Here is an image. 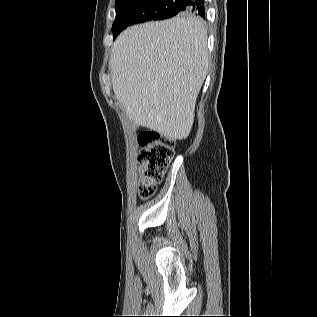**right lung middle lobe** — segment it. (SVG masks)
<instances>
[{"label": "right lung middle lobe", "mask_w": 317, "mask_h": 317, "mask_svg": "<svg viewBox=\"0 0 317 317\" xmlns=\"http://www.w3.org/2000/svg\"><path fill=\"white\" fill-rule=\"evenodd\" d=\"M177 0H116V18L113 23L114 39L133 24L150 20H163L179 14L192 17L189 12H180Z\"/></svg>", "instance_id": "dd1d6c3e"}]
</instances>
